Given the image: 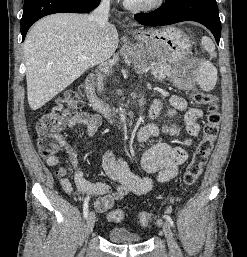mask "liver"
<instances>
[{
    "instance_id": "6515ba94",
    "label": "liver",
    "mask_w": 247,
    "mask_h": 257,
    "mask_svg": "<svg viewBox=\"0 0 247 257\" xmlns=\"http://www.w3.org/2000/svg\"><path fill=\"white\" fill-rule=\"evenodd\" d=\"M118 43L114 25L100 28L88 15L57 13L40 19L23 48L30 108H41L87 69L108 60ZM80 56L86 60L78 61Z\"/></svg>"
}]
</instances>
